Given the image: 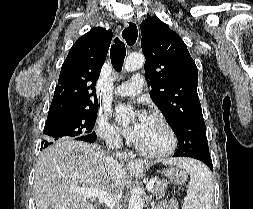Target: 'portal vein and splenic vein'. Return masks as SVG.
<instances>
[{"label":"portal vein and splenic vein","mask_w":253,"mask_h":209,"mask_svg":"<svg viewBox=\"0 0 253 209\" xmlns=\"http://www.w3.org/2000/svg\"><path fill=\"white\" fill-rule=\"evenodd\" d=\"M156 178L151 179L147 184V189L151 190L155 184ZM73 192H76L78 194H81L85 196L86 198H97L102 203H104L109 208H113L115 206L114 200L110 197V195L103 191L98 189H92V188H75L73 189Z\"/></svg>","instance_id":"1"}]
</instances>
